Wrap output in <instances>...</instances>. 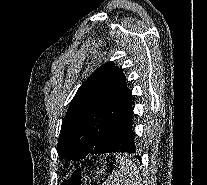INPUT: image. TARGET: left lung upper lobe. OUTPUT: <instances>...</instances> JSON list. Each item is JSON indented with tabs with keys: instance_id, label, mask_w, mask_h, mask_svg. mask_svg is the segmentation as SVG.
Wrapping results in <instances>:
<instances>
[{
	"instance_id": "5c2ea615",
	"label": "left lung upper lobe",
	"mask_w": 207,
	"mask_h": 185,
	"mask_svg": "<svg viewBox=\"0 0 207 185\" xmlns=\"http://www.w3.org/2000/svg\"><path fill=\"white\" fill-rule=\"evenodd\" d=\"M132 108V93L123 71L107 62L76 92L62 121L59 159L78 161L100 154L119 122Z\"/></svg>"
}]
</instances>
